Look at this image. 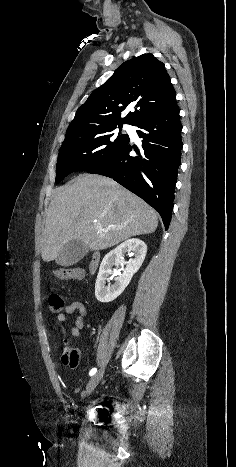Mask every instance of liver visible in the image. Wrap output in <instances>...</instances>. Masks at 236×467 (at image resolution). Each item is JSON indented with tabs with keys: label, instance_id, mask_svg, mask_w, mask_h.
I'll list each match as a JSON object with an SVG mask.
<instances>
[{
	"label": "liver",
	"instance_id": "obj_1",
	"mask_svg": "<svg viewBox=\"0 0 236 467\" xmlns=\"http://www.w3.org/2000/svg\"><path fill=\"white\" fill-rule=\"evenodd\" d=\"M157 226V213L141 198L105 176L80 174L54 192L45 220L42 259L55 260L72 240L82 241L90 250H103L153 233Z\"/></svg>",
	"mask_w": 236,
	"mask_h": 467
}]
</instances>
